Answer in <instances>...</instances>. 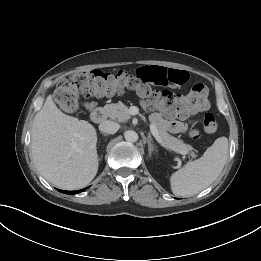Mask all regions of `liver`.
<instances>
[{
    "label": "liver",
    "instance_id": "liver-1",
    "mask_svg": "<svg viewBox=\"0 0 261 261\" xmlns=\"http://www.w3.org/2000/svg\"><path fill=\"white\" fill-rule=\"evenodd\" d=\"M97 134L93 125L61 112L49 95L35 115L31 155L40 174L67 190L82 188L97 174Z\"/></svg>",
    "mask_w": 261,
    "mask_h": 261
}]
</instances>
